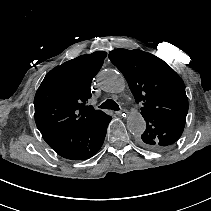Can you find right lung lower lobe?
<instances>
[{
    "mask_svg": "<svg viewBox=\"0 0 211 211\" xmlns=\"http://www.w3.org/2000/svg\"><path fill=\"white\" fill-rule=\"evenodd\" d=\"M111 119V116L102 113L80 128L69 130L45 141L58 155L66 159H88L101 148Z\"/></svg>",
    "mask_w": 211,
    "mask_h": 211,
    "instance_id": "right-lung-lower-lobe-1",
    "label": "right lung lower lobe"
}]
</instances>
